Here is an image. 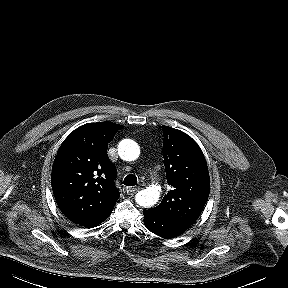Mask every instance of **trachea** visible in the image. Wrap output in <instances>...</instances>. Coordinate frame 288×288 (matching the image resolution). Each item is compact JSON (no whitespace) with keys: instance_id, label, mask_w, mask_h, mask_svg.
<instances>
[{"instance_id":"1","label":"trachea","mask_w":288,"mask_h":288,"mask_svg":"<svg viewBox=\"0 0 288 288\" xmlns=\"http://www.w3.org/2000/svg\"><path fill=\"white\" fill-rule=\"evenodd\" d=\"M123 184L126 186L137 185V177L133 174H129L124 178Z\"/></svg>"}]
</instances>
